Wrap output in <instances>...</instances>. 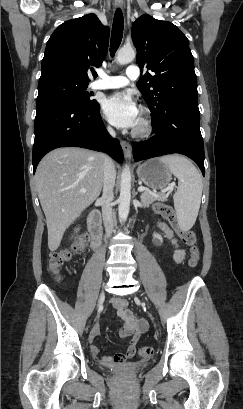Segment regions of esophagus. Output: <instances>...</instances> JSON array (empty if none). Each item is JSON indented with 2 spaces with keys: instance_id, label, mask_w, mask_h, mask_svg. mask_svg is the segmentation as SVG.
<instances>
[{
  "instance_id": "esophagus-1",
  "label": "esophagus",
  "mask_w": 243,
  "mask_h": 409,
  "mask_svg": "<svg viewBox=\"0 0 243 409\" xmlns=\"http://www.w3.org/2000/svg\"><path fill=\"white\" fill-rule=\"evenodd\" d=\"M115 6H116L117 8H121V7H122V1H121V0H116ZM120 144H121V147H122V150H123V152H124L125 157H126L127 159H130V158H131V155H132V147H131V145H130L128 142H126V141H121Z\"/></svg>"
}]
</instances>
